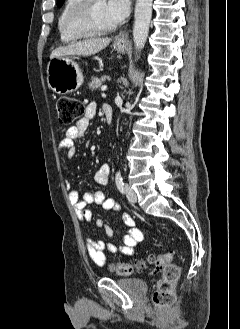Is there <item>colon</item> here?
I'll return each instance as SVG.
<instances>
[{"label": "colon", "mask_w": 240, "mask_h": 329, "mask_svg": "<svg viewBox=\"0 0 240 329\" xmlns=\"http://www.w3.org/2000/svg\"><path fill=\"white\" fill-rule=\"evenodd\" d=\"M58 120L62 125H71L84 114L82 103L70 96H60L56 100ZM175 251H166L148 257L136 265L109 264V268L120 275L131 274L135 268H146L161 272V279L152 295V302L158 309L171 306L176 299V287L180 277V267L170 261Z\"/></svg>", "instance_id": "colon-1"}]
</instances>
